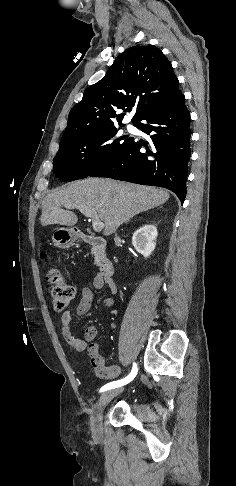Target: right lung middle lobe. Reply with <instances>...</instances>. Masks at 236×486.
<instances>
[{"instance_id": "obj_1", "label": "right lung middle lobe", "mask_w": 236, "mask_h": 486, "mask_svg": "<svg viewBox=\"0 0 236 486\" xmlns=\"http://www.w3.org/2000/svg\"><path fill=\"white\" fill-rule=\"evenodd\" d=\"M116 133L112 126L60 144L53 161L56 176L67 182L88 177L133 140L127 136L113 140Z\"/></svg>"}]
</instances>
